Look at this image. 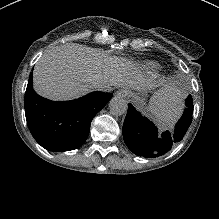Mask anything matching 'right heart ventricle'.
<instances>
[{
	"instance_id": "1",
	"label": "right heart ventricle",
	"mask_w": 219,
	"mask_h": 219,
	"mask_svg": "<svg viewBox=\"0 0 219 219\" xmlns=\"http://www.w3.org/2000/svg\"><path fill=\"white\" fill-rule=\"evenodd\" d=\"M148 66H150L152 69H157L158 68V65L156 63H153V62H149L147 63Z\"/></svg>"
}]
</instances>
